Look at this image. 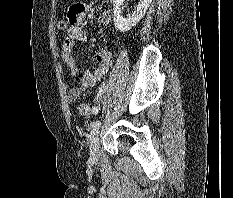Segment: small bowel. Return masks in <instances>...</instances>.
<instances>
[{"mask_svg":"<svg viewBox=\"0 0 233 198\" xmlns=\"http://www.w3.org/2000/svg\"><path fill=\"white\" fill-rule=\"evenodd\" d=\"M87 6L84 3H73L68 10L67 20L69 27L67 35L62 42L61 58L69 70V75L74 77L78 74L79 68L73 56L74 47L88 38L87 32L81 28L82 22L87 14ZM113 12L111 9H104L97 16V21L102 26H107L112 22ZM98 61V67L94 70L84 72L77 86L71 88L68 93L70 101H76L78 97L88 88L96 85L112 65V54L105 48H98L94 52Z\"/></svg>","mask_w":233,"mask_h":198,"instance_id":"1","label":"small bowel"}]
</instances>
